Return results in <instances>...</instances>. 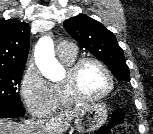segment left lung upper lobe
<instances>
[{
  "mask_svg": "<svg viewBox=\"0 0 153 134\" xmlns=\"http://www.w3.org/2000/svg\"><path fill=\"white\" fill-rule=\"evenodd\" d=\"M64 28L78 43L102 60L118 80L130 81L123 51L111 31L84 14L65 20Z\"/></svg>",
  "mask_w": 153,
  "mask_h": 134,
  "instance_id": "1",
  "label": "left lung upper lobe"
}]
</instances>
